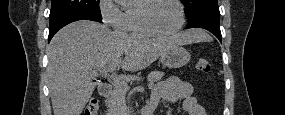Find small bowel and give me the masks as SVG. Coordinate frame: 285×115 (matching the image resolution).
Masks as SVG:
<instances>
[{
    "mask_svg": "<svg viewBox=\"0 0 285 115\" xmlns=\"http://www.w3.org/2000/svg\"><path fill=\"white\" fill-rule=\"evenodd\" d=\"M180 100L187 115H207L205 107L193 96L192 84L175 77L161 81L155 86L149 106L156 109L162 101Z\"/></svg>",
    "mask_w": 285,
    "mask_h": 115,
    "instance_id": "small-bowel-1",
    "label": "small bowel"
}]
</instances>
